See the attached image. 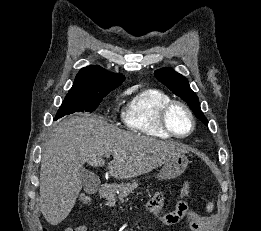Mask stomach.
Segmentation results:
<instances>
[{
	"label": "stomach",
	"instance_id": "obj_1",
	"mask_svg": "<svg viewBox=\"0 0 261 231\" xmlns=\"http://www.w3.org/2000/svg\"><path fill=\"white\" fill-rule=\"evenodd\" d=\"M188 166V158L185 154L171 158L160 170L157 178L160 180L174 179L180 176Z\"/></svg>",
	"mask_w": 261,
	"mask_h": 231
}]
</instances>
